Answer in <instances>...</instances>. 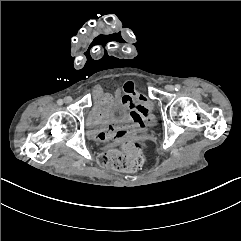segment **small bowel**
Here are the masks:
<instances>
[{"mask_svg":"<svg viewBox=\"0 0 241 241\" xmlns=\"http://www.w3.org/2000/svg\"><path fill=\"white\" fill-rule=\"evenodd\" d=\"M97 99L94 115L97 120L106 124L90 132V136L98 141H122L142 136L146 129L156 123V115L152 103L144 94H138L134 83L128 81L123 86V95L119 109L121 119H113L110 112L113 99L110 94L94 90Z\"/></svg>","mask_w":241,"mask_h":241,"instance_id":"obj_1","label":"small bowel"}]
</instances>
